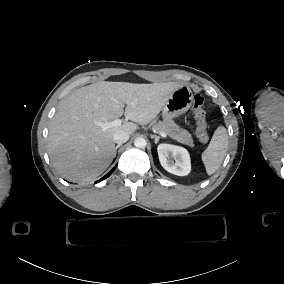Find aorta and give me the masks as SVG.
Wrapping results in <instances>:
<instances>
[{"mask_svg":"<svg viewBox=\"0 0 284 284\" xmlns=\"http://www.w3.org/2000/svg\"><path fill=\"white\" fill-rule=\"evenodd\" d=\"M134 145L138 148H145L146 145H147V142L144 138L138 137V138L135 139Z\"/></svg>","mask_w":284,"mask_h":284,"instance_id":"1","label":"aorta"}]
</instances>
